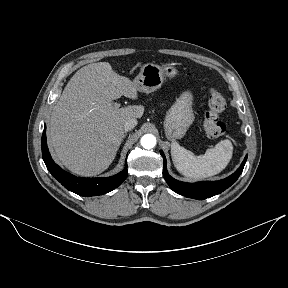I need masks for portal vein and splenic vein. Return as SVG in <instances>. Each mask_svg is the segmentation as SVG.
Segmentation results:
<instances>
[{"instance_id": "obj_1", "label": "portal vein and splenic vein", "mask_w": 288, "mask_h": 288, "mask_svg": "<svg viewBox=\"0 0 288 288\" xmlns=\"http://www.w3.org/2000/svg\"><path fill=\"white\" fill-rule=\"evenodd\" d=\"M114 107H115V108H119V107H120V104L115 103V104H114Z\"/></svg>"}]
</instances>
